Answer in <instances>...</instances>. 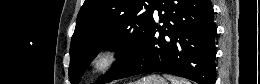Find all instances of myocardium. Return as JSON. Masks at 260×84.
I'll return each mask as SVG.
<instances>
[{
  "instance_id": "myocardium-1",
  "label": "myocardium",
  "mask_w": 260,
  "mask_h": 84,
  "mask_svg": "<svg viewBox=\"0 0 260 84\" xmlns=\"http://www.w3.org/2000/svg\"><path fill=\"white\" fill-rule=\"evenodd\" d=\"M123 50L114 44H106L95 49L88 59V69L97 76L115 70L123 59Z\"/></svg>"
}]
</instances>
